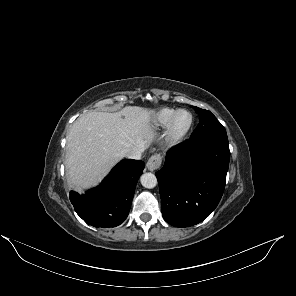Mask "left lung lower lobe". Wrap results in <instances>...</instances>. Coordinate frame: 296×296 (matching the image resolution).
<instances>
[{"label": "left lung lower lobe", "instance_id": "obj_1", "mask_svg": "<svg viewBox=\"0 0 296 296\" xmlns=\"http://www.w3.org/2000/svg\"><path fill=\"white\" fill-rule=\"evenodd\" d=\"M229 157L227 134L189 139L167 152L155 175L169 224L192 226L214 211L223 195Z\"/></svg>", "mask_w": 296, "mask_h": 296}]
</instances>
